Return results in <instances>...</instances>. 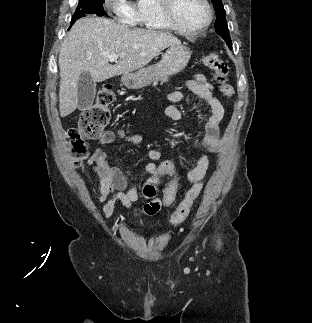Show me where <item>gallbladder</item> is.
<instances>
[{"mask_svg":"<svg viewBox=\"0 0 312 323\" xmlns=\"http://www.w3.org/2000/svg\"><path fill=\"white\" fill-rule=\"evenodd\" d=\"M78 110H84L92 106L96 94V84L91 78L90 72L79 76L78 84Z\"/></svg>","mask_w":312,"mask_h":323,"instance_id":"1","label":"gallbladder"}]
</instances>
